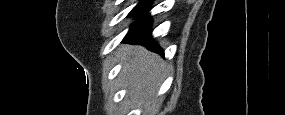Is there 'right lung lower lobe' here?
I'll list each match as a JSON object with an SVG mask.
<instances>
[{
  "label": "right lung lower lobe",
  "instance_id": "1",
  "mask_svg": "<svg viewBox=\"0 0 285 115\" xmlns=\"http://www.w3.org/2000/svg\"><path fill=\"white\" fill-rule=\"evenodd\" d=\"M148 11L149 9L137 16V20L131 26L124 41L145 45L148 49L163 55V50L152 40L151 32L148 30V24H145L150 20Z\"/></svg>",
  "mask_w": 285,
  "mask_h": 115
}]
</instances>
